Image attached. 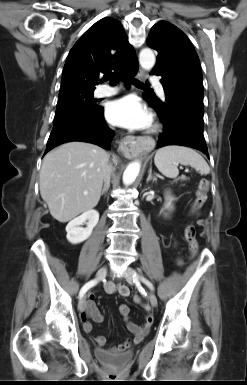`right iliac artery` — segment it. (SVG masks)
<instances>
[{
    "label": "right iliac artery",
    "mask_w": 247,
    "mask_h": 385,
    "mask_svg": "<svg viewBox=\"0 0 247 385\" xmlns=\"http://www.w3.org/2000/svg\"><path fill=\"white\" fill-rule=\"evenodd\" d=\"M97 283L96 280H91L89 282H87L80 290L79 292V297L82 298L84 296V294L91 288L93 287L95 284Z\"/></svg>",
    "instance_id": "82829eb1"
}]
</instances>
